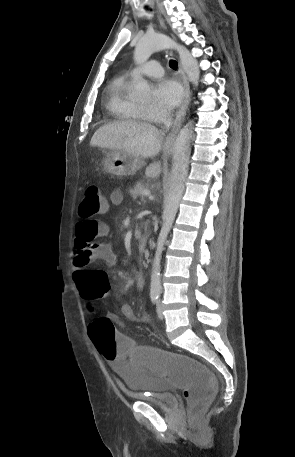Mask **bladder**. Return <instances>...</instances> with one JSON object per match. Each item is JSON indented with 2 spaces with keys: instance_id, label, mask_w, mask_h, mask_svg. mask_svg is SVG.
<instances>
[{
  "instance_id": "bladder-1",
  "label": "bladder",
  "mask_w": 295,
  "mask_h": 457,
  "mask_svg": "<svg viewBox=\"0 0 295 457\" xmlns=\"http://www.w3.org/2000/svg\"><path fill=\"white\" fill-rule=\"evenodd\" d=\"M112 369L127 391L159 411H178L176 397L166 389L167 382L160 374H142L138 366H120L119 362L112 363Z\"/></svg>"
}]
</instances>
